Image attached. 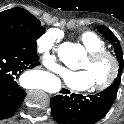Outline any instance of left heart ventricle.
Returning a JSON list of instances; mask_svg holds the SVG:
<instances>
[{
	"mask_svg": "<svg viewBox=\"0 0 124 124\" xmlns=\"http://www.w3.org/2000/svg\"><path fill=\"white\" fill-rule=\"evenodd\" d=\"M78 69L89 71L94 86L103 82L108 77L111 72V64L107 59L92 62L88 57H86L78 66Z\"/></svg>",
	"mask_w": 124,
	"mask_h": 124,
	"instance_id": "left-heart-ventricle-1",
	"label": "left heart ventricle"
}]
</instances>
